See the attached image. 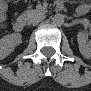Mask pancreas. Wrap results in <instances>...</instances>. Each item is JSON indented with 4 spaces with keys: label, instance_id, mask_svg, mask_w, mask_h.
Instances as JSON below:
<instances>
[{
    "label": "pancreas",
    "instance_id": "obj_1",
    "mask_svg": "<svg viewBox=\"0 0 91 91\" xmlns=\"http://www.w3.org/2000/svg\"><path fill=\"white\" fill-rule=\"evenodd\" d=\"M41 12L39 10H27L22 14V17L28 20V22L32 21L33 18L39 16ZM42 15V14H40Z\"/></svg>",
    "mask_w": 91,
    "mask_h": 91
}]
</instances>
